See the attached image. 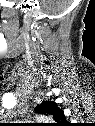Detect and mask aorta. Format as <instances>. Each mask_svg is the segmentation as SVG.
Listing matches in <instances>:
<instances>
[{
  "label": "aorta",
  "mask_w": 95,
  "mask_h": 126,
  "mask_svg": "<svg viewBox=\"0 0 95 126\" xmlns=\"http://www.w3.org/2000/svg\"><path fill=\"white\" fill-rule=\"evenodd\" d=\"M36 120L38 121V122H49V121H52L49 117H47V116H45V115H37L36 116Z\"/></svg>",
  "instance_id": "obj_1"
}]
</instances>
